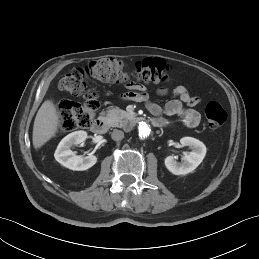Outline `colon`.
Returning a JSON list of instances; mask_svg holds the SVG:
<instances>
[{
  "mask_svg": "<svg viewBox=\"0 0 259 259\" xmlns=\"http://www.w3.org/2000/svg\"><path fill=\"white\" fill-rule=\"evenodd\" d=\"M91 78L106 83H128L133 80L144 83H165L170 81L167 66L159 60L144 61L129 72L126 65L117 58H101L83 68H74L61 79L62 91L81 97V102L66 101L60 105V123L65 131H73L90 125L99 109L100 102L86 79ZM207 125L211 130L220 128L227 119L222 105L216 101L205 107Z\"/></svg>",
  "mask_w": 259,
  "mask_h": 259,
  "instance_id": "1",
  "label": "colon"
}]
</instances>
